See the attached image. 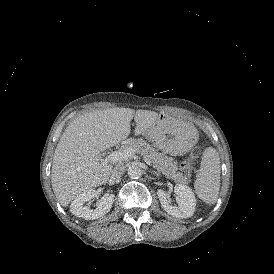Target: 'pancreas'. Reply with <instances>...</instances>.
<instances>
[{
    "instance_id": "cf45deb5",
    "label": "pancreas",
    "mask_w": 274,
    "mask_h": 274,
    "mask_svg": "<svg viewBox=\"0 0 274 274\" xmlns=\"http://www.w3.org/2000/svg\"><path fill=\"white\" fill-rule=\"evenodd\" d=\"M127 147H132L135 149V153L147 157L153 164V167L157 169L159 173L164 174L167 178L182 184H188L190 182L189 175L184 176L181 172L177 171V165L173 162L171 157H167L164 154L159 153L143 139L130 138L126 140L122 146L123 149Z\"/></svg>"
}]
</instances>
